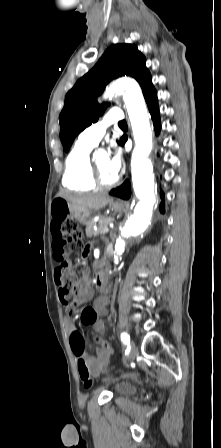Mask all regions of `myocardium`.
Wrapping results in <instances>:
<instances>
[{"mask_svg":"<svg viewBox=\"0 0 221 448\" xmlns=\"http://www.w3.org/2000/svg\"><path fill=\"white\" fill-rule=\"evenodd\" d=\"M90 165H91V171H92V179L97 187L109 188V187L114 186L118 182V177H116L113 180H105L101 176L94 161H91Z\"/></svg>","mask_w":221,"mask_h":448,"instance_id":"1","label":"myocardium"}]
</instances>
